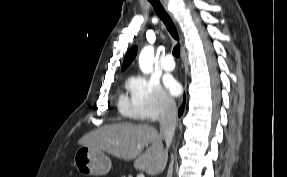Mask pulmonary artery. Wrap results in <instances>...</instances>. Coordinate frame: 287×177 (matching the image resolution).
<instances>
[{
	"label": "pulmonary artery",
	"mask_w": 287,
	"mask_h": 177,
	"mask_svg": "<svg viewBox=\"0 0 287 177\" xmlns=\"http://www.w3.org/2000/svg\"><path fill=\"white\" fill-rule=\"evenodd\" d=\"M175 67V63H174V57L171 53H167L164 56V60L162 63V68L165 71H172Z\"/></svg>",
	"instance_id": "obj_1"
}]
</instances>
